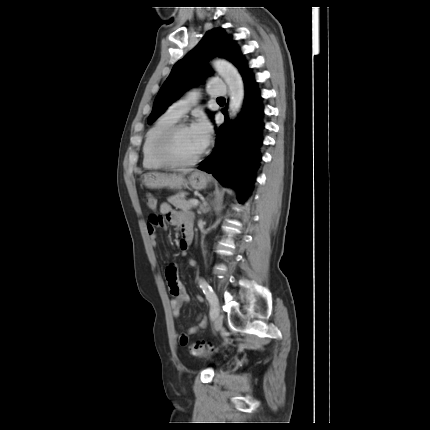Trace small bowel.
Returning <instances> with one entry per match:
<instances>
[{"label":"small bowel","mask_w":430,"mask_h":430,"mask_svg":"<svg viewBox=\"0 0 430 430\" xmlns=\"http://www.w3.org/2000/svg\"><path fill=\"white\" fill-rule=\"evenodd\" d=\"M160 212L164 215V218L158 216H152L149 218L147 223V232L149 235V241L152 247L157 245V230L164 227L166 224L176 226L180 233L181 239L179 241V247L183 257L187 258L188 264L191 267H196L198 262L194 258L187 257V250L192 242L193 230H192V215L186 211H178L167 203L163 202L160 205ZM166 279L169 287L170 294L172 296L171 306L173 316L177 318L180 315L181 309L188 304L189 296L187 295L183 284L178 279L177 267L170 265L166 270ZM197 302H203V297L198 295L196 297ZM206 318L200 316L198 318L197 325L187 329L186 333L179 335L178 342L180 345L185 346L189 342V336L195 334L199 330L205 328Z\"/></svg>","instance_id":"c3829d8e"}]
</instances>
